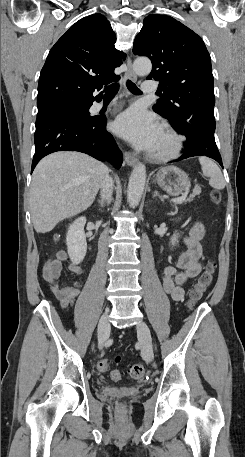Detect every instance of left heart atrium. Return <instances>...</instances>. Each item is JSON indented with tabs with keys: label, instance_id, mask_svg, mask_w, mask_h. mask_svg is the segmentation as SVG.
<instances>
[{
	"label": "left heart atrium",
	"instance_id": "1",
	"mask_svg": "<svg viewBox=\"0 0 245 457\" xmlns=\"http://www.w3.org/2000/svg\"><path fill=\"white\" fill-rule=\"evenodd\" d=\"M114 131L140 149L154 148L161 135L159 121L141 108L122 113L114 122Z\"/></svg>",
	"mask_w": 245,
	"mask_h": 457
}]
</instances>
